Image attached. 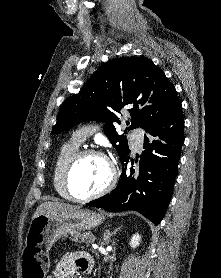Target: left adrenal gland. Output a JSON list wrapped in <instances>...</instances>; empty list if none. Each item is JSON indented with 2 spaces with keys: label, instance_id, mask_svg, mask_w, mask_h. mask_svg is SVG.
Segmentation results:
<instances>
[{
  "label": "left adrenal gland",
  "instance_id": "left-adrenal-gland-1",
  "mask_svg": "<svg viewBox=\"0 0 221 278\" xmlns=\"http://www.w3.org/2000/svg\"><path fill=\"white\" fill-rule=\"evenodd\" d=\"M120 230V227L115 229L113 232H110L109 229L105 231L104 233V242L106 244L109 243V240H110V237L113 236V235H116V233Z\"/></svg>",
  "mask_w": 221,
  "mask_h": 278
}]
</instances>
